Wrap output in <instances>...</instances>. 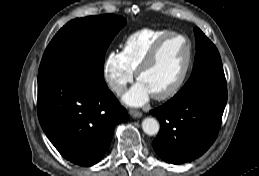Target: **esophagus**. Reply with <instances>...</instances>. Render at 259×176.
Returning <instances> with one entry per match:
<instances>
[{
    "label": "esophagus",
    "instance_id": "esophagus-1",
    "mask_svg": "<svg viewBox=\"0 0 259 176\" xmlns=\"http://www.w3.org/2000/svg\"><path fill=\"white\" fill-rule=\"evenodd\" d=\"M129 114L134 117V118H140L142 117V112L137 111V110H130Z\"/></svg>",
    "mask_w": 259,
    "mask_h": 176
}]
</instances>
